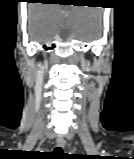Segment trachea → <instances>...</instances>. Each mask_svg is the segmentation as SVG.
<instances>
[{
    "label": "trachea",
    "mask_w": 134,
    "mask_h": 159,
    "mask_svg": "<svg viewBox=\"0 0 134 159\" xmlns=\"http://www.w3.org/2000/svg\"><path fill=\"white\" fill-rule=\"evenodd\" d=\"M54 152H55L56 154H59V155H60V154L63 153V150H62V148L57 147V148H55Z\"/></svg>",
    "instance_id": "obj_1"
}]
</instances>
